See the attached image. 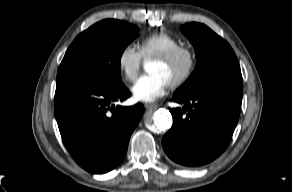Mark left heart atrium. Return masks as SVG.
Wrapping results in <instances>:
<instances>
[{
	"mask_svg": "<svg viewBox=\"0 0 292 192\" xmlns=\"http://www.w3.org/2000/svg\"><path fill=\"white\" fill-rule=\"evenodd\" d=\"M169 82L159 73H148L141 76L132 86L135 100L151 102L164 95Z\"/></svg>",
	"mask_w": 292,
	"mask_h": 192,
	"instance_id": "left-heart-atrium-1",
	"label": "left heart atrium"
}]
</instances>
